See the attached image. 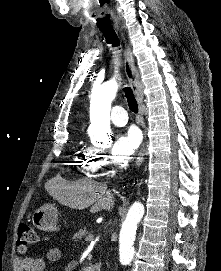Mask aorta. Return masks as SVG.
I'll return each instance as SVG.
<instances>
[{"label":"aorta","mask_w":221,"mask_h":271,"mask_svg":"<svg viewBox=\"0 0 221 271\" xmlns=\"http://www.w3.org/2000/svg\"><path fill=\"white\" fill-rule=\"evenodd\" d=\"M118 91L116 81L103 83L95 90L91 101V119L95 128L102 132L110 131L111 103ZM144 215V206L134 202L130 207L126 219L122 224L119 237V260L122 265H129L134 257L133 247L137 225Z\"/></svg>","instance_id":"1"}]
</instances>
